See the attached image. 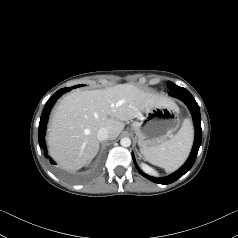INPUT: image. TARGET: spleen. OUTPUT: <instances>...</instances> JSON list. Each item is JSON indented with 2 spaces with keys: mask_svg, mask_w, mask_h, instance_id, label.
Wrapping results in <instances>:
<instances>
[{
  "mask_svg": "<svg viewBox=\"0 0 238 238\" xmlns=\"http://www.w3.org/2000/svg\"><path fill=\"white\" fill-rule=\"evenodd\" d=\"M193 126L189 119H185L175 136L162 144L143 150L145 159L167 172L178 169L187 159L193 142Z\"/></svg>",
  "mask_w": 238,
  "mask_h": 238,
  "instance_id": "obj_1",
  "label": "spleen"
}]
</instances>
